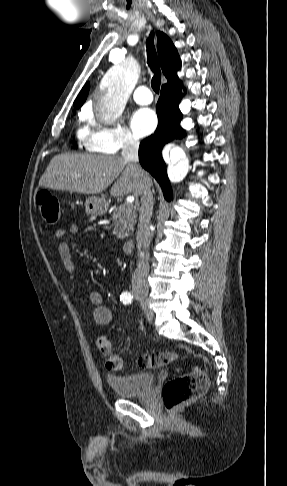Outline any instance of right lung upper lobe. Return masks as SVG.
<instances>
[{
    "label": "right lung upper lobe",
    "instance_id": "cb5924a9",
    "mask_svg": "<svg viewBox=\"0 0 287 486\" xmlns=\"http://www.w3.org/2000/svg\"><path fill=\"white\" fill-rule=\"evenodd\" d=\"M157 49L162 72L167 78V83L165 85L177 83L180 81L176 73L181 66L180 58L172 41L167 37V35L160 31L157 33ZM88 92L89 83H86L74 101V106L76 108L83 105L87 98Z\"/></svg>",
    "mask_w": 287,
    "mask_h": 486
}]
</instances>
